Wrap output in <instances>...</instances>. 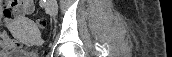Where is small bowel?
I'll return each instance as SVG.
<instances>
[{
    "label": "small bowel",
    "instance_id": "obj_1",
    "mask_svg": "<svg viewBox=\"0 0 172 57\" xmlns=\"http://www.w3.org/2000/svg\"><path fill=\"white\" fill-rule=\"evenodd\" d=\"M9 4L18 6V18H21L25 14L31 13L33 11V1L31 0H21L9 2ZM0 3V10L2 7ZM21 43L18 40L11 38L4 30H0V52H15L20 49Z\"/></svg>",
    "mask_w": 172,
    "mask_h": 57
}]
</instances>
